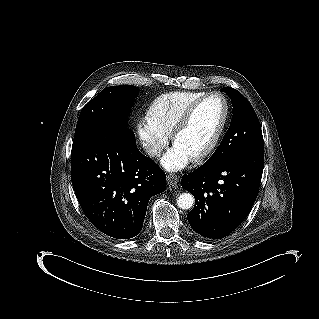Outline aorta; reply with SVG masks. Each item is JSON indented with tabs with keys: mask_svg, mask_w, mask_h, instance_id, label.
I'll return each instance as SVG.
<instances>
[{
	"mask_svg": "<svg viewBox=\"0 0 319 319\" xmlns=\"http://www.w3.org/2000/svg\"><path fill=\"white\" fill-rule=\"evenodd\" d=\"M194 197L190 193H182L177 198V206L181 209L187 210L193 206Z\"/></svg>",
	"mask_w": 319,
	"mask_h": 319,
	"instance_id": "aorta-1",
	"label": "aorta"
}]
</instances>
